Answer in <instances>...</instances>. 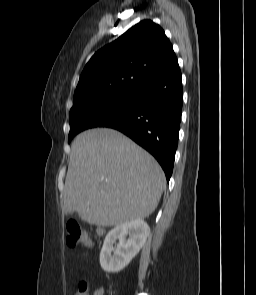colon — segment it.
<instances>
[{
	"label": "colon",
	"mask_w": 256,
	"mask_h": 295,
	"mask_svg": "<svg viewBox=\"0 0 256 295\" xmlns=\"http://www.w3.org/2000/svg\"><path fill=\"white\" fill-rule=\"evenodd\" d=\"M66 231V244L69 248L75 249L90 244L87 232L78 223L69 221L66 225ZM74 295H87V284L80 282Z\"/></svg>",
	"instance_id": "colon-1"
}]
</instances>
